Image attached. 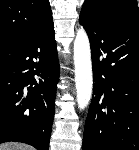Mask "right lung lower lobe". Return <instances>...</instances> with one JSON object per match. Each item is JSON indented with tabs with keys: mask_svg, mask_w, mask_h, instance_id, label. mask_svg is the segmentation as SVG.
Listing matches in <instances>:
<instances>
[{
	"mask_svg": "<svg viewBox=\"0 0 139 150\" xmlns=\"http://www.w3.org/2000/svg\"><path fill=\"white\" fill-rule=\"evenodd\" d=\"M58 80L52 19L34 35L0 48V143L48 150Z\"/></svg>",
	"mask_w": 139,
	"mask_h": 150,
	"instance_id": "right-lung-lower-lobe-1",
	"label": "right lung lower lobe"
}]
</instances>
